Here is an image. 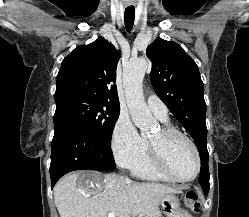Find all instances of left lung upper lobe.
I'll return each mask as SVG.
<instances>
[{
  "label": "left lung upper lobe",
  "mask_w": 249,
  "mask_h": 217,
  "mask_svg": "<svg viewBox=\"0 0 249 217\" xmlns=\"http://www.w3.org/2000/svg\"><path fill=\"white\" fill-rule=\"evenodd\" d=\"M146 53L152 61L150 79L155 92L190 133L199 150L201 168L208 170L206 103L198 66L172 41L156 39Z\"/></svg>",
  "instance_id": "left-lung-upper-lobe-1"
}]
</instances>
